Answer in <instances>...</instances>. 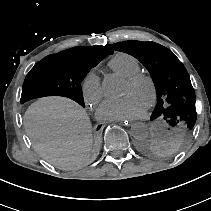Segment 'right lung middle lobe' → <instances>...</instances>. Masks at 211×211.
I'll return each instance as SVG.
<instances>
[{"label": "right lung middle lobe", "instance_id": "1", "mask_svg": "<svg viewBox=\"0 0 211 211\" xmlns=\"http://www.w3.org/2000/svg\"><path fill=\"white\" fill-rule=\"evenodd\" d=\"M104 58L75 56L64 52L46 56L27 74L21 103L44 96H64L84 107L80 83L91 68Z\"/></svg>", "mask_w": 211, "mask_h": 211}]
</instances>
